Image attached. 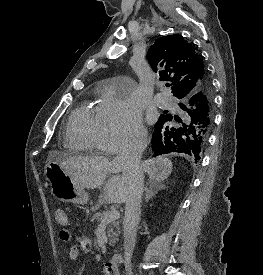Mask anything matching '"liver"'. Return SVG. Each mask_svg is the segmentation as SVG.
Wrapping results in <instances>:
<instances>
[{
  "instance_id": "obj_1",
  "label": "liver",
  "mask_w": 263,
  "mask_h": 275,
  "mask_svg": "<svg viewBox=\"0 0 263 275\" xmlns=\"http://www.w3.org/2000/svg\"><path fill=\"white\" fill-rule=\"evenodd\" d=\"M48 161H55L81 187L87 189L100 188L109 173L112 175L106 182L103 192L108 203L122 204L128 192L127 181L118 173L121 170L116 159L110 161L103 156L67 157L57 151L49 153ZM142 171L148 174L151 183H160L172 172V162L166 157H157L141 163Z\"/></svg>"
}]
</instances>
